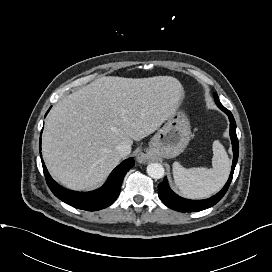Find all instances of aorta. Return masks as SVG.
<instances>
[{
    "label": "aorta",
    "instance_id": "1",
    "mask_svg": "<svg viewBox=\"0 0 272 272\" xmlns=\"http://www.w3.org/2000/svg\"><path fill=\"white\" fill-rule=\"evenodd\" d=\"M164 173V167L159 163H150L147 166V174L154 179L162 178L164 176Z\"/></svg>",
    "mask_w": 272,
    "mask_h": 272
}]
</instances>
